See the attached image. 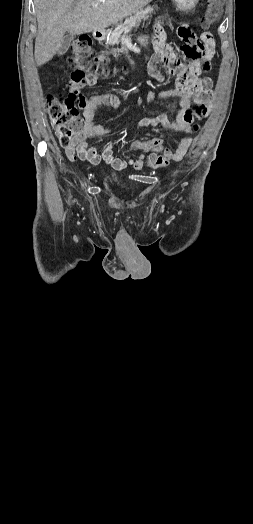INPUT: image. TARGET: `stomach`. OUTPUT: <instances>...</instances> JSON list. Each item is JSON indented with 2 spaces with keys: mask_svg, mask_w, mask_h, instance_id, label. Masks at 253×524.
I'll use <instances>...</instances> for the list:
<instances>
[{
  "mask_svg": "<svg viewBox=\"0 0 253 524\" xmlns=\"http://www.w3.org/2000/svg\"><path fill=\"white\" fill-rule=\"evenodd\" d=\"M173 3H175L176 7L180 11H190L193 9L199 0H172ZM138 41L145 45L148 42V37L146 36H140L138 38Z\"/></svg>",
  "mask_w": 253,
  "mask_h": 524,
  "instance_id": "stomach-1",
  "label": "stomach"
}]
</instances>
